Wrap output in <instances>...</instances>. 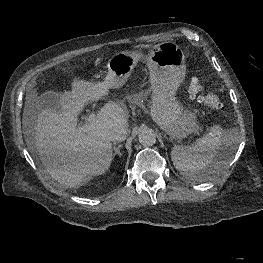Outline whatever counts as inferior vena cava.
I'll list each match as a JSON object with an SVG mask.
<instances>
[{
  "mask_svg": "<svg viewBox=\"0 0 263 263\" xmlns=\"http://www.w3.org/2000/svg\"><path fill=\"white\" fill-rule=\"evenodd\" d=\"M126 135H127V129L125 127H114L109 132V138L114 143L125 140Z\"/></svg>",
  "mask_w": 263,
  "mask_h": 263,
  "instance_id": "1",
  "label": "inferior vena cava"
}]
</instances>
